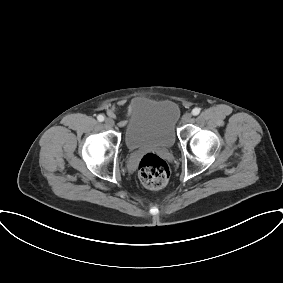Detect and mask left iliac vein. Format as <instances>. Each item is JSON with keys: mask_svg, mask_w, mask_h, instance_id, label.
I'll use <instances>...</instances> for the list:
<instances>
[{"mask_svg": "<svg viewBox=\"0 0 283 283\" xmlns=\"http://www.w3.org/2000/svg\"><path fill=\"white\" fill-rule=\"evenodd\" d=\"M191 119H192V114L188 112V113H185V114L183 115L182 121H183L184 123H188V122L191 121Z\"/></svg>", "mask_w": 283, "mask_h": 283, "instance_id": "obj_1", "label": "left iliac vein"}]
</instances>
